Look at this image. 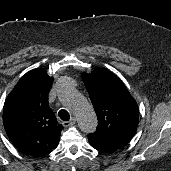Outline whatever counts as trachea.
<instances>
[{"label": "trachea", "mask_w": 171, "mask_h": 171, "mask_svg": "<svg viewBox=\"0 0 171 171\" xmlns=\"http://www.w3.org/2000/svg\"><path fill=\"white\" fill-rule=\"evenodd\" d=\"M58 116L61 118V120L63 121H68L70 119V115L68 113L67 110L65 109H61L59 112H58Z\"/></svg>", "instance_id": "trachea-1"}]
</instances>
